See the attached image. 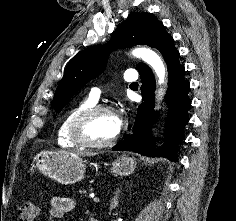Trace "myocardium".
<instances>
[{
	"label": "myocardium",
	"mask_w": 236,
	"mask_h": 221,
	"mask_svg": "<svg viewBox=\"0 0 236 221\" xmlns=\"http://www.w3.org/2000/svg\"><path fill=\"white\" fill-rule=\"evenodd\" d=\"M100 113H109L114 115L111 107L106 105H93L79 113L70 126V139L78 146L83 148H105L113 145L119 139V132L107 141H93L86 135V126L89 121Z\"/></svg>",
	"instance_id": "obj_1"
}]
</instances>
